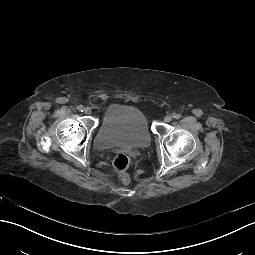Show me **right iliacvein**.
<instances>
[{"mask_svg":"<svg viewBox=\"0 0 255 255\" xmlns=\"http://www.w3.org/2000/svg\"><path fill=\"white\" fill-rule=\"evenodd\" d=\"M84 113H85L86 115H90V114L92 113L91 108H90V107H86V108L84 109Z\"/></svg>","mask_w":255,"mask_h":255,"instance_id":"1","label":"right iliac vein"}]
</instances>
